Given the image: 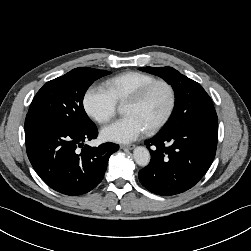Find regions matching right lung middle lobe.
<instances>
[{
	"mask_svg": "<svg viewBox=\"0 0 251 251\" xmlns=\"http://www.w3.org/2000/svg\"><path fill=\"white\" fill-rule=\"evenodd\" d=\"M110 74L88 67L76 68L42 86L35 95L27 116H37L78 131L95 127L88 118L83 98L89 86Z\"/></svg>",
	"mask_w": 251,
	"mask_h": 251,
	"instance_id": "dd1d6c3e",
	"label": "right lung middle lobe"
}]
</instances>
